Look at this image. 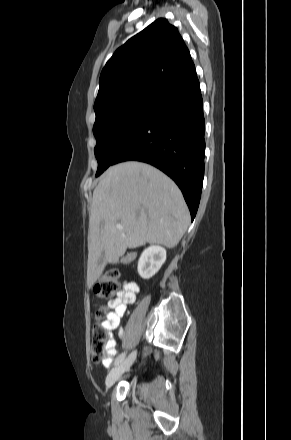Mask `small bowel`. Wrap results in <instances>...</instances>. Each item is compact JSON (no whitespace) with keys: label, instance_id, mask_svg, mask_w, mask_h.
<instances>
[{"label":"small bowel","instance_id":"c3829d8e","mask_svg":"<svg viewBox=\"0 0 291 440\" xmlns=\"http://www.w3.org/2000/svg\"><path fill=\"white\" fill-rule=\"evenodd\" d=\"M140 291V288L135 283L126 282L123 285V290L118 297L110 302V307L113 309L107 314L106 319L102 322L105 329L111 332L113 329L119 327L121 319L125 316L128 306L136 300V297ZM124 334L123 329L119 331V336ZM116 342L113 335L109 333V340L107 342V348L109 349V358L103 361L105 367H109L112 364V357L115 355Z\"/></svg>","mask_w":291,"mask_h":440}]
</instances>
